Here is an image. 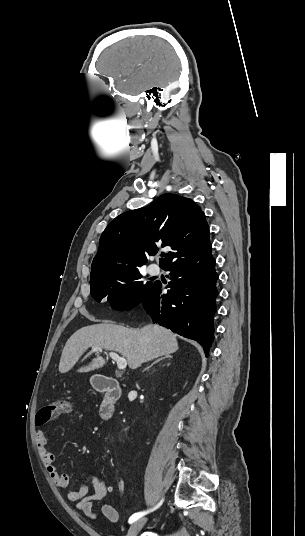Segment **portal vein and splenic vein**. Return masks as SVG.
Listing matches in <instances>:
<instances>
[{
	"label": "portal vein and splenic vein",
	"mask_w": 305,
	"mask_h": 536,
	"mask_svg": "<svg viewBox=\"0 0 305 536\" xmlns=\"http://www.w3.org/2000/svg\"><path fill=\"white\" fill-rule=\"evenodd\" d=\"M92 352H102V350L101 348H99V346H93ZM109 356L110 358H112V360H115V362H117L119 370H124V368H126L127 362L125 358H120V356H118V354H114V352H110Z\"/></svg>",
	"instance_id": "obj_1"
}]
</instances>
